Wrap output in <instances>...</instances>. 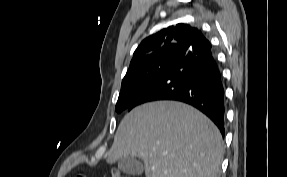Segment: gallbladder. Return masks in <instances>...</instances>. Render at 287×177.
I'll list each match as a JSON object with an SVG mask.
<instances>
[{
  "mask_svg": "<svg viewBox=\"0 0 287 177\" xmlns=\"http://www.w3.org/2000/svg\"><path fill=\"white\" fill-rule=\"evenodd\" d=\"M118 168L125 174L138 176L144 171L140 160L133 156L122 157L118 160Z\"/></svg>",
  "mask_w": 287,
  "mask_h": 177,
  "instance_id": "obj_1",
  "label": "gallbladder"
}]
</instances>
